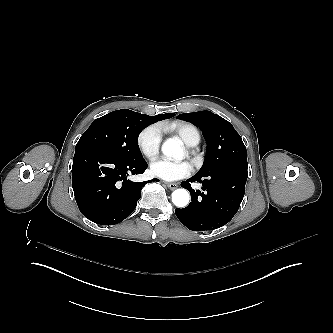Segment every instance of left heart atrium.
Instances as JSON below:
<instances>
[{
  "label": "left heart atrium",
  "mask_w": 333,
  "mask_h": 333,
  "mask_svg": "<svg viewBox=\"0 0 333 333\" xmlns=\"http://www.w3.org/2000/svg\"><path fill=\"white\" fill-rule=\"evenodd\" d=\"M193 171V165L188 161L170 162L160 160L157 161L151 168V173L154 176L167 181H176L189 177Z\"/></svg>",
  "instance_id": "obj_1"
}]
</instances>
